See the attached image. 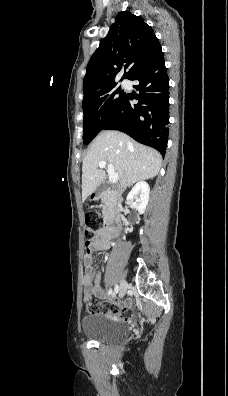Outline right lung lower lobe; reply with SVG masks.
Returning a JSON list of instances; mask_svg holds the SVG:
<instances>
[{
  "mask_svg": "<svg viewBox=\"0 0 228 396\" xmlns=\"http://www.w3.org/2000/svg\"><path fill=\"white\" fill-rule=\"evenodd\" d=\"M132 80L140 83L138 104L132 103L127 94L102 130H120L136 141L157 149L163 156L166 152L169 123V78L159 46Z\"/></svg>",
  "mask_w": 228,
  "mask_h": 396,
  "instance_id": "1",
  "label": "right lung lower lobe"
}]
</instances>
